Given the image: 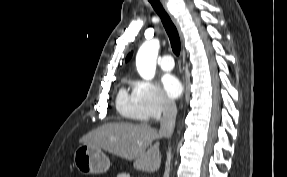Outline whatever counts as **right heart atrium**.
<instances>
[{"label":"right heart atrium","instance_id":"d8ad5b80","mask_svg":"<svg viewBox=\"0 0 287 177\" xmlns=\"http://www.w3.org/2000/svg\"><path fill=\"white\" fill-rule=\"evenodd\" d=\"M133 93L137 102V115L142 121H155L174 109L173 101L154 82H136Z\"/></svg>","mask_w":287,"mask_h":177}]
</instances>
